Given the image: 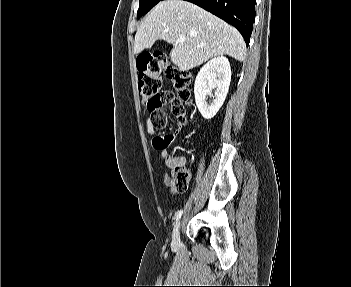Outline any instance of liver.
I'll list each match as a JSON object with an SVG mask.
<instances>
[{"label": "liver", "mask_w": 351, "mask_h": 287, "mask_svg": "<svg viewBox=\"0 0 351 287\" xmlns=\"http://www.w3.org/2000/svg\"><path fill=\"white\" fill-rule=\"evenodd\" d=\"M157 40L173 44L170 59L180 71L216 56L228 55L238 61L246 56L244 39L236 28L183 0L161 1L148 13L137 29L134 53L151 48Z\"/></svg>", "instance_id": "1"}]
</instances>
